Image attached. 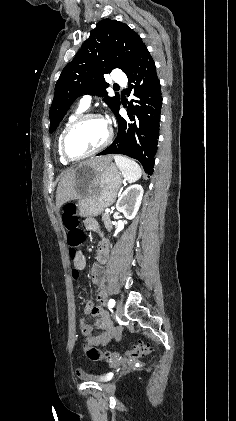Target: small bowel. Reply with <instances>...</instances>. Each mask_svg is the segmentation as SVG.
I'll list each match as a JSON object with an SVG mask.
<instances>
[{
  "instance_id": "small-bowel-1",
  "label": "small bowel",
  "mask_w": 236,
  "mask_h": 421,
  "mask_svg": "<svg viewBox=\"0 0 236 421\" xmlns=\"http://www.w3.org/2000/svg\"><path fill=\"white\" fill-rule=\"evenodd\" d=\"M85 226H86L87 229H89L91 231H94V232L99 233V234L101 233V228H100L99 223L93 218L86 219L85 220ZM79 265L80 266L84 265V259L83 258H81L79 260ZM88 308H90V305H88ZM100 316H101V318H103V320L106 323V329H105L106 330V337L103 341H96L93 338H90V341L91 342L106 343L116 333V330H115L114 326L112 325V323L109 321V318H108L107 314L101 312ZM83 324H84V322H81V325H83ZM80 374H81V371L78 372V375H80Z\"/></svg>"
}]
</instances>
